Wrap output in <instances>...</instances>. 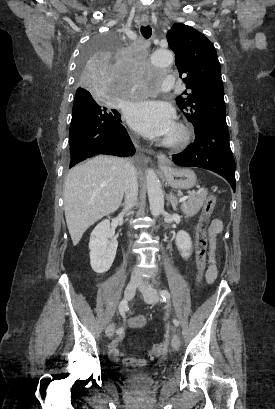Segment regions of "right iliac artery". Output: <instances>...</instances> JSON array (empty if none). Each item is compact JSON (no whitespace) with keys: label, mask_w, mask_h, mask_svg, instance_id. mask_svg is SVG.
Listing matches in <instances>:
<instances>
[{"label":"right iliac artery","mask_w":275,"mask_h":409,"mask_svg":"<svg viewBox=\"0 0 275 409\" xmlns=\"http://www.w3.org/2000/svg\"><path fill=\"white\" fill-rule=\"evenodd\" d=\"M127 301L126 300H122L121 301V303H120V306H119V312H120V314L122 315V316H124L125 315V312L127 311ZM123 328H119L118 330H117V333H122L123 332Z\"/></svg>","instance_id":"right-iliac-artery-1"}]
</instances>
